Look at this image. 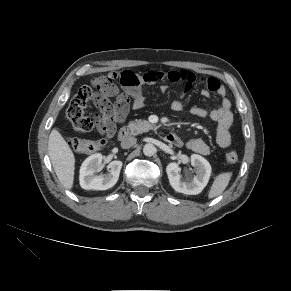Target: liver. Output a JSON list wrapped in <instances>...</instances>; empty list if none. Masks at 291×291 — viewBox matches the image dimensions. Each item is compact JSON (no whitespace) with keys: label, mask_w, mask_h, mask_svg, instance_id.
<instances>
[{"label":"liver","mask_w":291,"mask_h":291,"mask_svg":"<svg viewBox=\"0 0 291 291\" xmlns=\"http://www.w3.org/2000/svg\"><path fill=\"white\" fill-rule=\"evenodd\" d=\"M48 152L60 183L66 189H72L75 157L68 143L56 128H54L49 135Z\"/></svg>","instance_id":"liver-1"}]
</instances>
